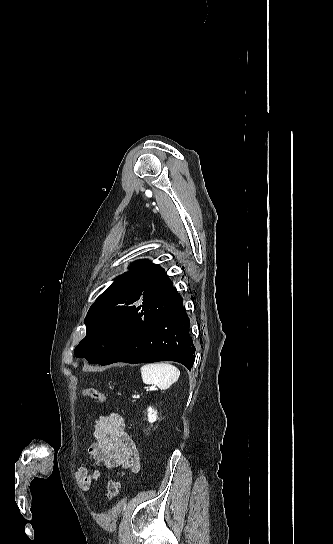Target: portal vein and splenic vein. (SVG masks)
<instances>
[{
	"instance_id": "18ae733b",
	"label": "portal vein and splenic vein",
	"mask_w": 333,
	"mask_h": 544,
	"mask_svg": "<svg viewBox=\"0 0 333 544\" xmlns=\"http://www.w3.org/2000/svg\"><path fill=\"white\" fill-rule=\"evenodd\" d=\"M155 388H156V386H151V387L147 388L146 390H147V391H149V390L151 391V390H155Z\"/></svg>"
}]
</instances>
